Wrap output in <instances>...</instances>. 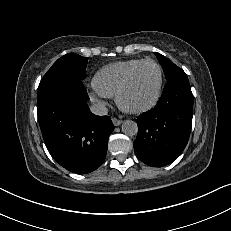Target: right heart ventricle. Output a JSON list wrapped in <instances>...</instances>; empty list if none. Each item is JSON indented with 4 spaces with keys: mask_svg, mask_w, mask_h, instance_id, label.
Segmentation results:
<instances>
[{
    "mask_svg": "<svg viewBox=\"0 0 231 231\" xmlns=\"http://www.w3.org/2000/svg\"><path fill=\"white\" fill-rule=\"evenodd\" d=\"M142 60L117 61L102 67L93 78L94 87L106 97L115 96L128 72Z\"/></svg>",
    "mask_w": 231,
    "mask_h": 231,
    "instance_id": "right-heart-ventricle-1",
    "label": "right heart ventricle"
}]
</instances>
